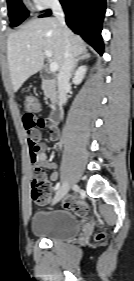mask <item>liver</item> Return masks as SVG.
Masks as SVG:
<instances>
[{
  "instance_id": "liver-1",
  "label": "liver",
  "mask_w": 134,
  "mask_h": 281,
  "mask_svg": "<svg viewBox=\"0 0 134 281\" xmlns=\"http://www.w3.org/2000/svg\"><path fill=\"white\" fill-rule=\"evenodd\" d=\"M72 53L75 56L86 51L81 37L67 28ZM45 50L52 52V61L61 69L64 62V30L55 18L33 19L7 40V60L13 91L17 92L23 83L40 71L44 64Z\"/></svg>"
}]
</instances>
